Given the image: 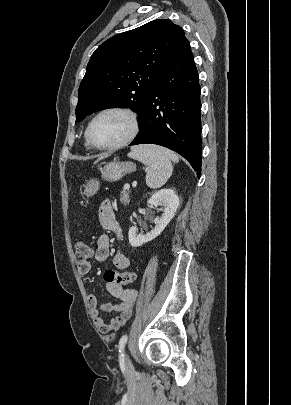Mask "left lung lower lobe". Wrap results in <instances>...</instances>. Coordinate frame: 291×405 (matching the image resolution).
<instances>
[{
    "label": "left lung lower lobe",
    "mask_w": 291,
    "mask_h": 405,
    "mask_svg": "<svg viewBox=\"0 0 291 405\" xmlns=\"http://www.w3.org/2000/svg\"><path fill=\"white\" fill-rule=\"evenodd\" d=\"M200 85L189 41L163 70L146 99L141 133L131 142L157 144L182 155L201 175Z\"/></svg>",
    "instance_id": "1"
}]
</instances>
